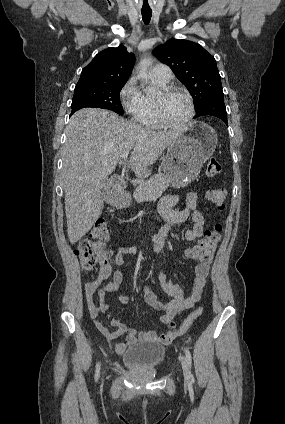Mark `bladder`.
<instances>
[{
    "label": "bladder",
    "instance_id": "obj_1",
    "mask_svg": "<svg viewBox=\"0 0 285 424\" xmlns=\"http://www.w3.org/2000/svg\"><path fill=\"white\" fill-rule=\"evenodd\" d=\"M167 357V348L157 342H140L129 346L122 362L130 371H157Z\"/></svg>",
    "mask_w": 285,
    "mask_h": 424
}]
</instances>
